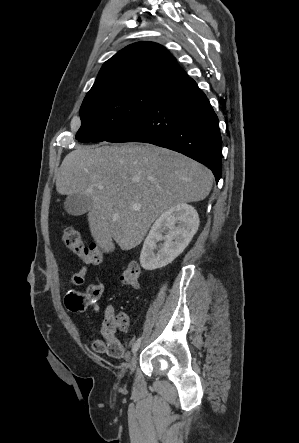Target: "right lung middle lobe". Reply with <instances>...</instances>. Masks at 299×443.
Wrapping results in <instances>:
<instances>
[{
  "label": "right lung middle lobe",
  "instance_id": "right-lung-middle-lobe-1",
  "mask_svg": "<svg viewBox=\"0 0 299 443\" xmlns=\"http://www.w3.org/2000/svg\"><path fill=\"white\" fill-rule=\"evenodd\" d=\"M165 90L149 87L118 88L86 97L80 109V142H101L137 120Z\"/></svg>",
  "mask_w": 299,
  "mask_h": 443
}]
</instances>
